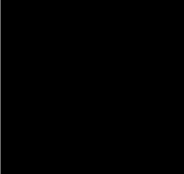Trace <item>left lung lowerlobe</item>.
Listing matches in <instances>:
<instances>
[{
    "label": "left lung lower lobe",
    "instance_id": "0a47b994",
    "mask_svg": "<svg viewBox=\"0 0 184 174\" xmlns=\"http://www.w3.org/2000/svg\"><path fill=\"white\" fill-rule=\"evenodd\" d=\"M163 134L164 132L161 131L127 123L122 132L120 146L128 153H143L157 144Z\"/></svg>",
    "mask_w": 184,
    "mask_h": 174
}]
</instances>
